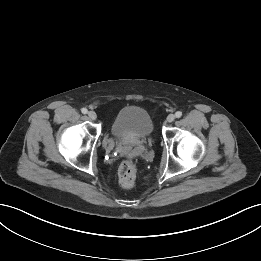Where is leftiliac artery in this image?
<instances>
[{
	"instance_id": "left-iliac-artery-1",
	"label": "left iliac artery",
	"mask_w": 261,
	"mask_h": 261,
	"mask_svg": "<svg viewBox=\"0 0 261 261\" xmlns=\"http://www.w3.org/2000/svg\"><path fill=\"white\" fill-rule=\"evenodd\" d=\"M175 116H176V118H180L182 116V112L181 111H177L175 113Z\"/></svg>"
}]
</instances>
